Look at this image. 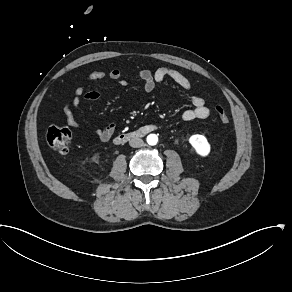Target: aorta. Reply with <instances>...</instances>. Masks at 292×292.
<instances>
[{
	"label": "aorta",
	"mask_w": 292,
	"mask_h": 292,
	"mask_svg": "<svg viewBox=\"0 0 292 292\" xmlns=\"http://www.w3.org/2000/svg\"><path fill=\"white\" fill-rule=\"evenodd\" d=\"M147 142L149 145H155L158 142V137L155 134H150L147 136Z\"/></svg>",
	"instance_id": "aorta-1"
}]
</instances>
